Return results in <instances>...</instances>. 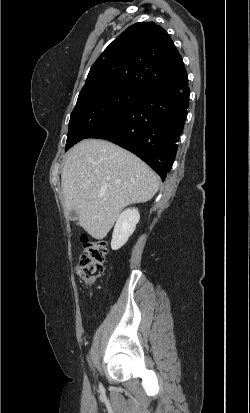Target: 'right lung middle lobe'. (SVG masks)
I'll list each match as a JSON object with an SVG mask.
<instances>
[{
  "label": "right lung middle lobe",
  "instance_id": "1",
  "mask_svg": "<svg viewBox=\"0 0 250 413\" xmlns=\"http://www.w3.org/2000/svg\"><path fill=\"white\" fill-rule=\"evenodd\" d=\"M140 93L125 85H96L82 89L71 113L65 151L113 119Z\"/></svg>",
  "mask_w": 250,
  "mask_h": 413
}]
</instances>
